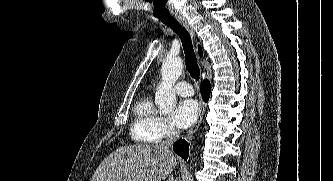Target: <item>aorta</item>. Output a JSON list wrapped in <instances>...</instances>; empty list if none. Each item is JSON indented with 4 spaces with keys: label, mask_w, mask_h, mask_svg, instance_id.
Returning a JSON list of instances; mask_svg holds the SVG:
<instances>
[{
    "label": "aorta",
    "mask_w": 333,
    "mask_h": 181,
    "mask_svg": "<svg viewBox=\"0 0 333 181\" xmlns=\"http://www.w3.org/2000/svg\"><path fill=\"white\" fill-rule=\"evenodd\" d=\"M183 70L181 58H167L161 68V83L155 94V104L163 114L172 112L176 106L177 97L173 89L175 82Z\"/></svg>",
    "instance_id": "obj_1"
}]
</instances>
